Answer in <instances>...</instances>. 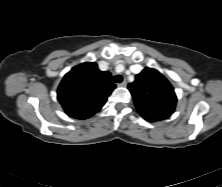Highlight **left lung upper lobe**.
<instances>
[{
    "label": "left lung upper lobe",
    "mask_w": 222,
    "mask_h": 187,
    "mask_svg": "<svg viewBox=\"0 0 222 187\" xmlns=\"http://www.w3.org/2000/svg\"><path fill=\"white\" fill-rule=\"evenodd\" d=\"M139 113L169 117L173 114L177 97L169 81L156 69L146 67L128 85Z\"/></svg>",
    "instance_id": "obj_1"
}]
</instances>
